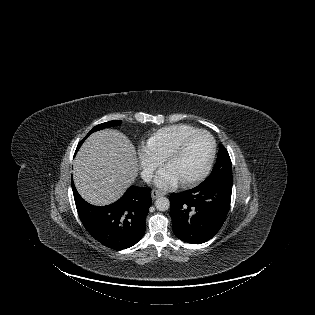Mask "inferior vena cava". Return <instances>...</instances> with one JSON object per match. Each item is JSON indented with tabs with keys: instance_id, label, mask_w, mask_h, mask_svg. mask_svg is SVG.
<instances>
[{
	"instance_id": "1",
	"label": "inferior vena cava",
	"mask_w": 315,
	"mask_h": 315,
	"mask_svg": "<svg viewBox=\"0 0 315 315\" xmlns=\"http://www.w3.org/2000/svg\"><path fill=\"white\" fill-rule=\"evenodd\" d=\"M141 177L145 182L149 183V182H151V180L153 178V173L149 172V171H144L141 173Z\"/></svg>"
}]
</instances>
